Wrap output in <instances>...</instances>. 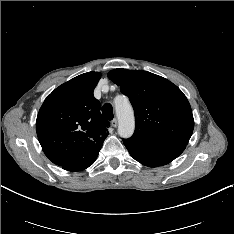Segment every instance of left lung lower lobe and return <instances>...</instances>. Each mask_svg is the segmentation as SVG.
Instances as JSON below:
<instances>
[{
	"instance_id": "0a47b994",
	"label": "left lung lower lobe",
	"mask_w": 234,
	"mask_h": 234,
	"mask_svg": "<svg viewBox=\"0 0 234 234\" xmlns=\"http://www.w3.org/2000/svg\"><path fill=\"white\" fill-rule=\"evenodd\" d=\"M130 155L149 167H158L170 163L178 157L186 145H147L123 140Z\"/></svg>"
}]
</instances>
